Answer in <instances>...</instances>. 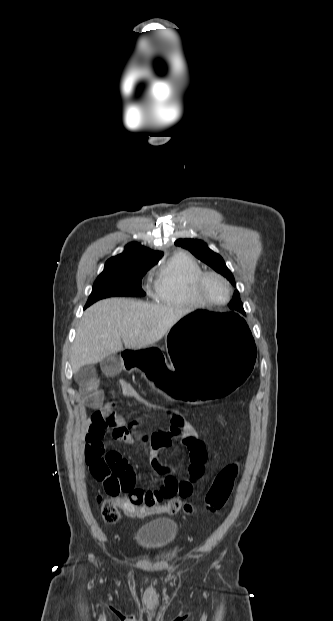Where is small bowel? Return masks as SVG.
Instances as JSON below:
<instances>
[{"instance_id": "obj_1", "label": "small bowel", "mask_w": 333, "mask_h": 621, "mask_svg": "<svg viewBox=\"0 0 333 621\" xmlns=\"http://www.w3.org/2000/svg\"><path fill=\"white\" fill-rule=\"evenodd\" d=\"M117 367L118 362L113 357H108L102 363L104 372H114ZM119 388L124 395L148 405L129 382L120 380ZM80 393L84 404L94 410L86 424L84 445L86 464L91 473L101 462H108L112 466L122 469L127 463L126 460L119 451L108 448V441L105 440V437L110 434L112 441L132 444L134 437L131 428L125 424L123 418L115 412L111 404L104 402L97 381L83 379ZM157 409L169 419L170 424L167 428H158L152 433L144 435L143 439L150 451L156 454L168 448L174 438L180 437V444L188 458L185 467L186 474L182 478H176L177 467L165 463L159 458H153L151 461L152 474L162 476L163 481L155 489L135 487L128 491L124 499L133 508L162 503L163 500L174 497L188 498L193 493L195 483L205 472L207 452L205 443L196 428L175 407H157Z\"/></svg>"}]
</instances>
